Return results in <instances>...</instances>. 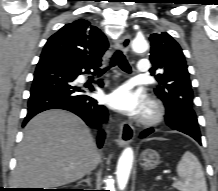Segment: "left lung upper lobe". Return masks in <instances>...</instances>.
<instances>
[{
	"instance_id": "left-lung-upper-lobe-1",
	"label": "left lung upper lobe",
	"mask_w": 218,
	"mask_h": 191,
	"mask_svg": "<svg viewBox=\"0 0 218 191\" xmlns=\"http://www.w3.org/2000/svg\"><path fill=\"white\" fill-rule=\"evenodd\" d=\"M149 40L150 61L153 65L150 72L158 82L154 91L164 102L166 119L174 122L176 117L181 116V107H187L193 113L192 119L186 120L183 126L187 130L199 131L197 117L193 111L191 81L182 49L166 32L153 33ZM156 70L160 73L155 75Z\"/></svg>"
}]
</instances>
